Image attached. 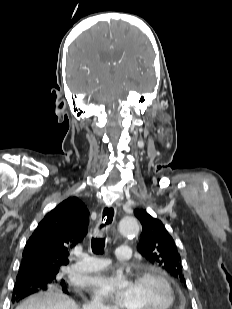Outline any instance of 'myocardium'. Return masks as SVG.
I'll list each match as a JSON object with an SVG mask.
<instances>
[{"label": "myocardium", "instance_id": "obj_1", "mask_svg": "<svg viewBox=\"0 0 232 309\" xmlns=\"http://www.w3.org/2000/svg\"><path fill=\"white\" fill-rule=\"evenodd\" d=\"M145 279L157 280L165 287L168 300L163 309H173L176 305V293L168 277L157 269L141 270L135 275V282H139Z\"/></svg>", "mask_w": 232, "mask_h": 309}]
</instances>
